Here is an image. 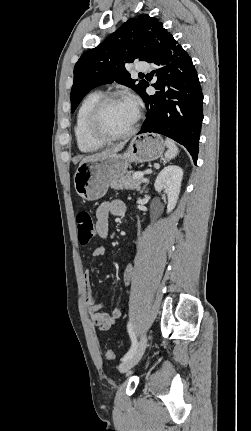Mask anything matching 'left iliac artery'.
Masks as SVG:
<instances>
[{
  "label": "left iliac artery",
  "instance_id": "left-iliac-artery-1",
  "mask_svg": "<svg viewBox=\"0 0 251 431\" xmlns=\"http://www.w3.org/2000/svg\"><path fill=\"white\" fill-rule=\"evenodd\" d=\"M127 328H128V332H129L131 341H132V345H131L130 349L128 350V352L121 359L122 361H125L126 359H128L135 352V350L137 349V346H138L137 338H136L135 333L133 331V327H132L131 322H128Z\"/></svg>",
  "mask_w": 251,
  "mask_h": 431
}]
</instances>
